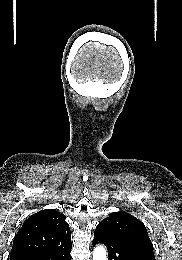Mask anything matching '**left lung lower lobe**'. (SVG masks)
Wrapping results in <instances>:
<instances>
[{"label":"left lung lower lobe","instance_id":"0a47b994","mask_svg":"<svg viewBox=\"0 0 182 260\" xmlns=\"http://www.w3.org/2000/svg\"><path fill=\"white\" fill-rule=\"evenodd\" d=\"M104 244L108 250V260H155L151 248L124 236L96 228L92 245Z\"/></svg>","mask_w":182,"mask_h":260}]
</instances>
